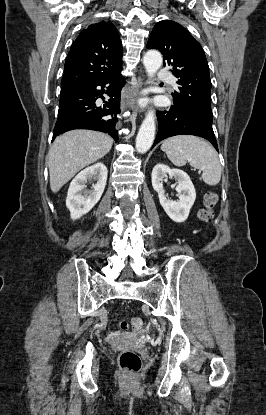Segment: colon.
<instances>
[{"mask_svg":"<svg viewBox=\"0 0 266 415\" xmlns=\"http://www.w3.org/2000/svg\"><path fill=\"white\" fill-rule=\"evenodd\" d=\"M217 197L214 193H207L204 201V208L200 211V218L205 222H210L213 217V207ZM119 326L122 330L137 332L142 328V320L138 317L131 318L129 321L120 320ZM119 364L122 370L130 375H136L141 369V358L133 350H123L119 354Z\"/></svg>","mask_w":266,"mask_h":415,"instance_id":"1","label":"colon"}]
</instances>
